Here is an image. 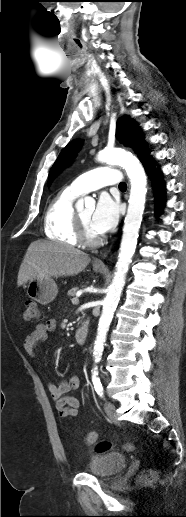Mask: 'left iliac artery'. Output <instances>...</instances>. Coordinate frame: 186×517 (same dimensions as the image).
<instances>
[{"mask_svg":"<svg viewBox=\"0 0 186 517\" xmlns=\"http://www.w3.org/2000/svg\"><path fill=\"white\" fill-rule=\"evenodd\" d=\"M92 382H93V385H94V388H95V391L97 392V394L103 398L104 397L103 387H102V384L98 377V372L95 370L92 371Z\"/></svg>","mask_w":186,"mask_h":517,"instance_id":"1","label":"left iliac artery"}]
</instances>
